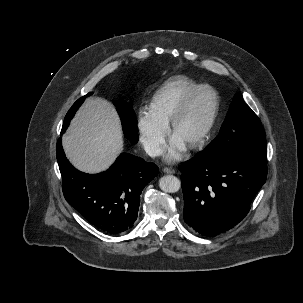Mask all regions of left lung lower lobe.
<instances>
[{"label": "left lung lower lobe", "mask_w": 303, "mask_h": 303, "mask_svg": "<svg viewBox=\"0 0 303 303\" xmlns=\"http://www.w3.org/2000/svg\"><path fill=\"white\" fill-rule=\"evenodd\" d=\"M181 172L185 222L202 235L215 236L246 217L266 182L267 164L200 153Z\"/></svg>", "instance_id": "left-lung-lower-lobe-1"}]
</instances>
